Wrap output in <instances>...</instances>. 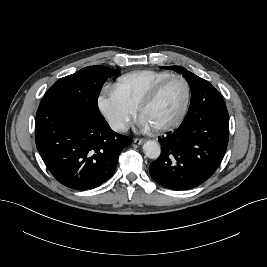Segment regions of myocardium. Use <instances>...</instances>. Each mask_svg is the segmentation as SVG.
Masks as SVG:
<instances>
[{"label": "myocardium", "mask_w": 267, "mask_h": 267, "mask_svg": "<svg viewBox=\"0 0 267 267\" xmlns=\"http://www.w3.org/2000/svg\"><path fill=\"white\" fill-rule=\"evenodd\" d=\"M172 79H180L185 86L186 93H185L184 104H183V107H182L180 113L172 122L165 124V125L152 127L153 130L157 133H165V132L172 131V130L176 129L183 122V120L187 114L189 104H190V99H191V87H190L188 80L180 74H170L169 76H167V77L163 78L162 80H160L159 82H157L151 88V90L148 92V94L144 97V99L141 101V103L138 106V113L142 117L144 110L155 101V99L159 95L163 86L168 81H170Z\"/></svg>", "instance_id": "obj_1"}]
</instances>
